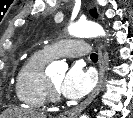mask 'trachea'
<instances>
[{
    "label": "trachea",
    "instance_id": "obj_1",
    "mask_svg": "<svg viewBox=\"0 0 133 118\" xmlns=\"http://www.w3.org/2000/svg\"><path fill=\"white\" fill-rule=\"evenodd\" d=\"M97 59H98V55L96 53H92L91 54V60L97 61Z\"/></svg>",
    "mask_w": 133,
    "mask_h": 118
}]
</instances>
